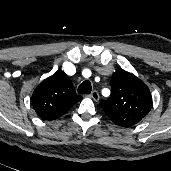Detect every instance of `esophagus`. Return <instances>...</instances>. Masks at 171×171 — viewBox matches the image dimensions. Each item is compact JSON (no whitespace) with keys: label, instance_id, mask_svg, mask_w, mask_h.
<instances>
[{"label":"esophagus","instance_id":"esophagus-1","mask_svg":"<svg viewBox=\"0 0 171 171\" xmlns=\"http://www.w3.org/2000/svg\"><path fill=\"white\" fill-rule=\"evenodd\" d=\"M90 97L95 101V102H98L99 100V93L94 90L90 93Z\"/></svg>","mask_w":171,"mask_h":171}]
</instances>
